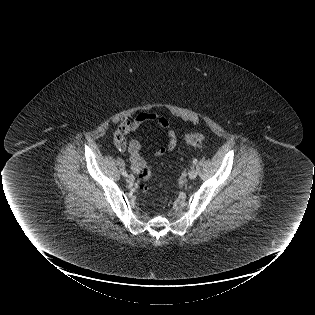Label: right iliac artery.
Returning <instances> with one entry per match:
<instances>
[{"label":"right iliac artery","mask_w":315,"mask_h":315,"mask_svg":"<svg viewBox=\"0 0 315 315\" xmlns=\"http://www.w3.org/2000/svg\"><path fill=\"white\" fill-rule=\"evenodd\" d=\"M122 175L125 176V177H127L128 174H127L126 171H123V172H122Z\"/></svg>","instance_id":"82829eb1"}]
</instances>
